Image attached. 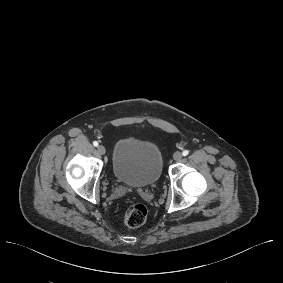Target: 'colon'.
Here are the masks:
<instances>
[{
    "mask_svg": "<svg viewBox=\"0 0 283 283\" xmlns=\"http://www.w3.org/2000/svg\"><path fill=\"white\" fill-rule=\"evenodd\" d=\"M147 209L139 202L129 201L124 206V223L130 228H137L146 221Z\"/></svg>",
    "mask_w": 283,
    "mask_h": 283,
    "instance_id": "obj_1",
    "label": "colon"
}]
</instances>
